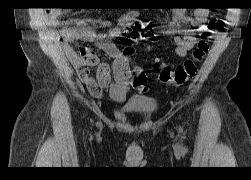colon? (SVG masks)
I'll return each mask as SVG.
<instances>
[{"instance_id": "colon-1", "label": "colon", "mask_w": 251, "mask_h": 180, "mask_svg": "<svg viewBox=\"0 0 251 180\" xmlns=\"http://www.w3.org/2000/svg\"><path fill=\"white\" fill-rule=\"evenodd\" d=\"M158 35L149 27L141 22L133 23L122 34L121 42L124 44V55L130 56L133 53L131 47L134 41L156 42ZM208 51V40L205 36H201L200 40L192 54L183 63L177 66H170L160 60H156L154 67L159 71V79L161 82L174 86H182L190 78H192L197 71V63L204 57Z\"/></svg>"}]
</instances>
